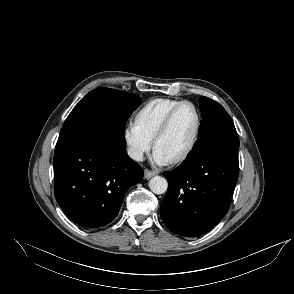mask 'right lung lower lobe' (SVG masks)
<instances>
[{
    "instance_id": "1",
    "label": "right lung lower lobe",
    "mask_w": 294,
    "mask_h": 294,
    "mask_svg": "<svg viewBox=\"0 0 294 294\" xmlns=\"http://www.w3.org/2000/svg\"><path fill=\"white\" fill-rule=\"evenodd\" d=\"M125 139L101 135L67 140L55 147L54 193L75 223L97 228L113 221L127 190L143 178L126 153Z\"/></svg>"
}]
</instances>
